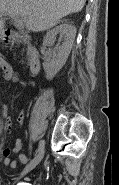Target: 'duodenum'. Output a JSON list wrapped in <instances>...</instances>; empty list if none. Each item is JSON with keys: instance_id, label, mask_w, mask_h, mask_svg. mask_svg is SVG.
Returning <instances> with one entry per match:
<instances>
[{"instance_id": "410a0bca", "label": "duodenum", "mask_w": 119, "mask_h": 185, "mask_svg": "<svg viewBox=\"0 0 119 185\" xmlns=\"http://www.w3.org/2000/svg\"><path fill=\"white\" fill-rule=\"evenodd\" d=\"M5 38L11 43H24L29 48V72L31 75H35L40 70V54L37 48L32 44L31 38L28 35L18 34L15 31H7Z\"/></svg>"}]
</instances>
